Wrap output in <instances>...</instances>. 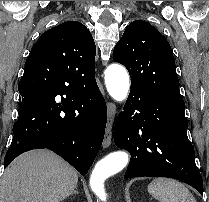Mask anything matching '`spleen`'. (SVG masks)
I'll return each mask as SVG.
<instances>
[{
	"instance_id": "1",
	"label": "spleen",
	"mask_w": 209,
	"mask_h": 202,
	"mask_svg": "<svg viewBox=\"0 0 209 202\" xmlns=\"http://www.w3.org/2000/svg\"><path fill=\"white\" fill-rule=\"evenodd\" d=\"M148 192L160 202H196L189 189L174 179L156 178L148 185Z\"/></svg>"
}]
</instances>
